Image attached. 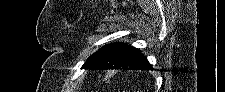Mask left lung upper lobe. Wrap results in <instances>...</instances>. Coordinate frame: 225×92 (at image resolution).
<instances>
[{"label": "left lung upper lobe", "instance_id": "left-lung-upper-lobe-1", "mask_svg": "<svg viewBox=\"0 0 225 92\" xmlns=\"http://www.w3.org/2000/svg\"><path fill=\"white\" fill-rule=\"evenodd\" d=\"M126 44L124 43H112L107 46L102 47L97 52H95L91 57H89L84 65L83 69H95L99 66L104 60H106L113 53L121 49Z\"/></svg>", "mask_w": 225, "mask_h": 92}]
</instances>
